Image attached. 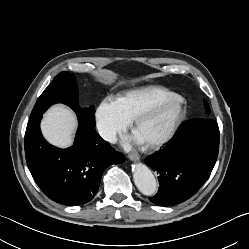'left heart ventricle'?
Returning <instances> with one entry per match:
<instances>
[{
    "instance_id": "b2bd125f",
    "label": "left heart ventricle",
    "mask_w": 249,
    "mask_h": 249,
    "mask_svg": "<svg viewBox=\"0 0 249 249\" xmlns=\"http://www.w3.org/2000/svg\"><path fill=\"white\" fill-rule=\"evenodd\" d=\"M178 110L176 101L157 109L145 119L136 129V133L145 143L154 141L163 136L172 125Z\"/></svg>"
}]
</instances>
